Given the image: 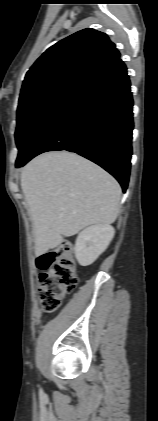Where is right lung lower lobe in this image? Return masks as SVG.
Instances as JSON below:
<instances>
[{
	"label": "right lung lower lobe",
	"instance_id": "1",
	"mask_svg": "<svg viewBox=\"0 0 158 421\" xmlns=\"http://www.w3.org/2000/svg\"><path fill=\"white\" fill-rule=\"evenodd\" d=\"M132 106L127 68L119 58L83 84L16 167L43 152L67 150L100 165L125 192L132 155Z\"/></svg>",
	"mask_w": 158,
	"mask_h": 421
}]
</instances>
